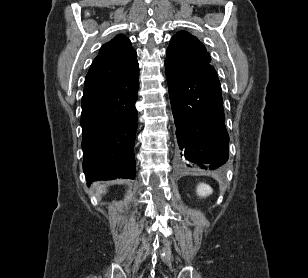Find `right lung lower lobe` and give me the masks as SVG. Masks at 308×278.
<instances>
[{"label":"right lung lower lobe","instance_id":"right-lung-lower-lobe-1","mask_svg":"<svg viewBox=\"0 0 308 278\" xmlns=\"http://www.w3.org/2000/svg\"><path fill=\"white\" fill-rule=\"evenodd\" d=\"M139 74L115 90L83 94L82 149L87 181L135 177Z\"/></svg>","mask_w":308,"mask_h":278}]
</instances>
